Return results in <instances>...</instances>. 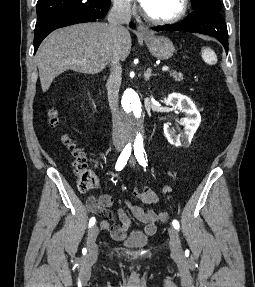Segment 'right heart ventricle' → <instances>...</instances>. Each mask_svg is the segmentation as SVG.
Masks as SVG:
<instances>
[{
    "label": "right heart ventricle",
    "instance_id": "e07e8e85",
    "mask_svg": "<svg viewBox=\"0 0 255 287\" xmlns=\"http://www.w3.org/2000/svg\"><path fill=\"white\" fill-rule=\"evenodd\" d=\"M137 39H145V38H137ZM134 48H147V47H134ZM166 48H169V47H166Z\"/></svg>",
    "mask_w": 255,
    "mask_h": 287
}]
</instances>
